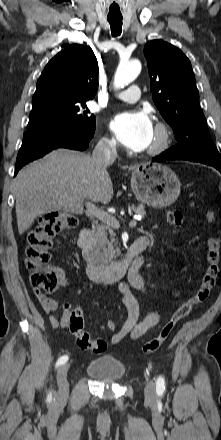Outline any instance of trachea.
Instances as JSON below:
<instances>
[{
    "label": "trachea",
    "mask_w": 221,
    "mask_h": 440,
    "mask_svg": "<svg viewBox=\"0 0 221 440\" xmlns=\"http://www.w3.org/2000/svg\"><path fill=\"white\" fill-rule=\"evenodd\" d=\"M107 20L111 27L112 36H119L122 32V17H108Z\"/></svg>",
    "instance_id": "obj_1"
}]
</instances>
